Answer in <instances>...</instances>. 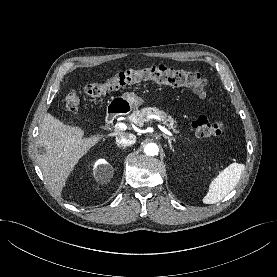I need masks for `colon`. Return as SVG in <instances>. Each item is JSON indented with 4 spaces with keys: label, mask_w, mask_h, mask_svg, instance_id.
<instances>
[{
    "label": "colon",
    "mask_w": 277,
    "mask_h": 277,
    "mask_svg": "<svg viewBox=\"0 0 277 277\" xmlns=\"http://www.w3.org/2000/svg\"><path fill=\"white\" fill-rule=\"evenodd\" d=\"M143 81H152L171 87H186L202 99H206L209 96L208 83L198 72L175 70L164 65H151L117 73L102 83L87 84L85 92L89 96L97 97L106 92ZM65 109L70 114L78 112L79 97L74 90L69 91L65 97ZM191 127L197 136L203 138L218 137L227 130V125L224 121L216 120L212 122L206 116L197 117L192 121Z\"/></svg>",
    "instance_id": "colon-1"
}]
</instances>
